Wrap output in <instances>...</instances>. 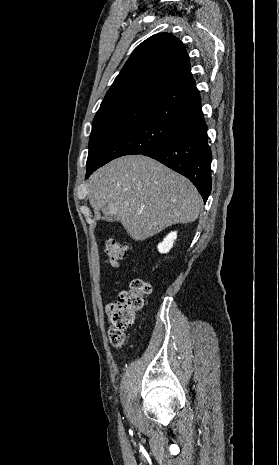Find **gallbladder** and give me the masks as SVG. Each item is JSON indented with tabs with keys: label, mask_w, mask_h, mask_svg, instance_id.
Returning a JSON list of instances; mask_svg holds the SVG:
<instances>
[{
	"label": "gallbladder",
	"mask_w": 279,
	"mask_h": 465,
	"mask_svg": "<svg viewBox=\"0 0 279 465\" xmlns=\"http://www.w3.org/2000/svg\"><path fill=\"white\" fill-rule=\"evenodd\" d=\"M110 208H111V206H109V205L106 206V209H107V210H109Z\"/></svg>",
	"instance_id": "gallbladder-1"
}]
</instances>
